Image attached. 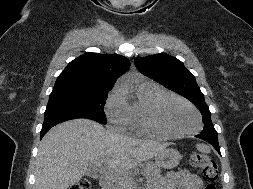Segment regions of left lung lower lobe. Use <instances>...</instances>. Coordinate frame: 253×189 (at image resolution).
<instances>
[{"mask_svg": "<svg viewBox=\"0 0 253 189\" xmlns=\"http://www.w3.org/2000/svg\"><path fill=\"white\" fill-rule=\"evenodd\" d=\"M196 137L208 141L216 149V151L220 154V148H219L217 135L200 133L199 135H196Z\"/></svg>", "mask_w": 253, "mask_h": 189, "instance_id": "1", "label": "left lung lower lobe"}]
</instances>
